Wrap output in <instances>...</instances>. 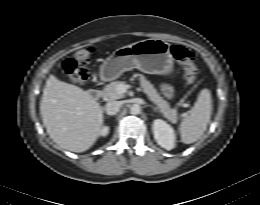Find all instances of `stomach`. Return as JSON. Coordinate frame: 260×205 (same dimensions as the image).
<instances>
[{
    "mask_svg": "<svg viewBox=\"0 0 260 205\" xmlns=\"http://www.w3.org/2000/svg\"><path fill=\"white\" fill-rule=\"evenodd\" d=\"M173 67L170 44L150 38L116 49L101 65L100 77L103 81H112L133 68L148 74L169 75Z\"/></svg>",
    "mask_w": 260,
    "mask_h": 205,
    "instance_id": "0dacf381",
    "label": "stomach"
}]
</instances>
